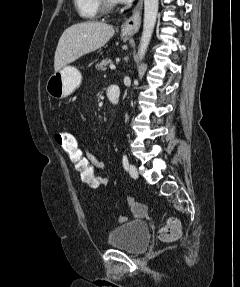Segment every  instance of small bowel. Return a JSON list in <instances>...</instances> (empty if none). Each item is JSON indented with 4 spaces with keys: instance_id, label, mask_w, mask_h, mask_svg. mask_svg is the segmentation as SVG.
Wrapping results in <instances>:
<instances>
[{
    "instance_id": "obj_1",
    "label": "small bowel",
    "mask_w": 240,
    "mask_h": 287,
    "mask_svg": "<svg viewBox=\"0 0 240 287\" xmlns=\"http://www.w3.org/2000/svg\"><path fill=\"white\" fill-rule=\"evenodd\" d=\"M85 154L87 156V158L89 159V161L94 165V167L96 169H103L105 167V162L103 160H101L98 156H96L95 154L89 152V151H85ZM111 182V178L110 177H104V176H100V183L101 185H108ZM127 201L129 203V205L131 206L132 211L135 214H138L139 212H144L145 211V206L137 201H135L134 198L132 197H128Z\"/></svg>"
}]
</instances>
